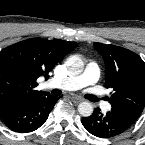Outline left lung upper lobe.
Here are the masks:
<instances>
[{"label":"left lung upper lobe","instance_id":"5c2ea615","mask_svg":"<svg viewBox=\"0 0 145 145\" xmlns=\"http://www.w3.org/2000/svg\"><path fill=\"white\" fill-rule=\"evenodd\" d=\"M105 61V85L114 92L109 112L132 126L145 106V62L136 53L114 45L94 43Z\"/></svg>","mask_w":145,"mask_h":145}]
</instances>
